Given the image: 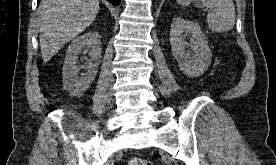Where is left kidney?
I'll use <instances>...</instances> for the list:
<instances>
[{
    "mask_svg": "<svg viewBox=\"0 0 276 165\" xmlns=\"http://www.w3.org/2000/svg\"><path fill=\"white\" fill-rule=\"evenodd\" d=\"M183 32L190 33V43L185 42ZM170 45L172 53L178 62L180 70L190 76L203 75L211 64L212 54L207 38L198 23L188 21L182 17L172 20L170 29ZM190 47L191 51H186Z\"/></svg>",
    "mask_w": 276,
    "mask_h": 165,
    "instance_id": "5707ae66",
    "label": "left kidney"
}]
</instances>
